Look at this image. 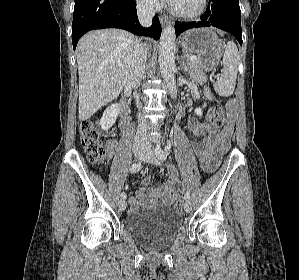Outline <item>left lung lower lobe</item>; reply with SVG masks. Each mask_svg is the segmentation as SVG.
<instances>
[{"instance_id":"obj_1","label":"left lung lower lobe","mask_w":299,"mask_h":280,"mask_svg":"<svg viewBox=\"0 0 299 280\" xmlns=\"http://www.w3.org/2000/svg\"><path fill=\"white\" fill-rule=\"evenodd\" d=\"M214 26L231 33L242 45L241 11L239 0H209L206 12L198 21L176 23V36L185 30Z\"/></svg>"}]
</instances>
